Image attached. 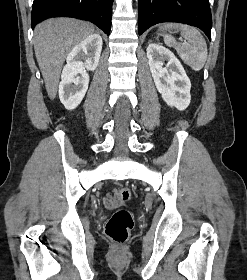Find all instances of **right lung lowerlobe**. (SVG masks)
<instances>
[{
	"label": "right lung lower lobe",
	"instance_id": "1",
	"mask_svg": "<svg viewBox=\"0 0 247 280\" xmlns=\"http://www.w3.org/2000/svg\"><path fill=\"white\" fill-rule=\"evenodd\" d=\"M113 0H34L31 14L32 29L51 17H73L98 25L110 33Z\"/></svg>",
	"mask_w": 247,
	"mask_h": 280
}]
</instances>
